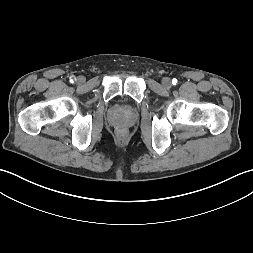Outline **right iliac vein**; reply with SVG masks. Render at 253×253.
<instances>
[{"instance_id":"right-iliac-vein-1","label":"right iliac vein","mask_w":253,"mask_h":253,"mask_svg":"<svg viewBox=\"0 0 253 253\" xmlns=\"http://www.w3.org/2000/svg\"><path fill=\"white\" fill-rule=\"evenodd\" d=\"M76 82H77L78 84H83V83L85 82V77H84V76H78V77L76 78Z\"/></svg>"}]
</instances>
